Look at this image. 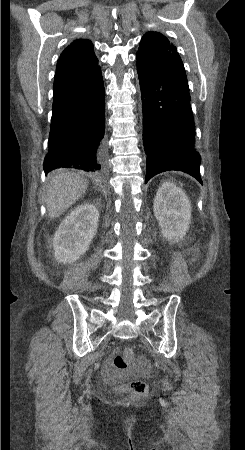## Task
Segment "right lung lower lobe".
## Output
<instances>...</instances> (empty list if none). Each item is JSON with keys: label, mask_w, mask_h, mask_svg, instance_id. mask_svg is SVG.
Returning a JSON list of instances; mask_svg holds the SVG:
<instances>
[{"label": "right lung lower lobe", "mask_w": 245, "mask_h": 450, "mask_svg": "<svg viewBox=\"0 0 245 450\" xmlns=\"http://www.w3.org/2000/svg\"><path fill=\"white\" fill-rule=\"evenodd\" d=\"M105 92L100 67L54 96L45 173L75 168L93 175L106 170Z\"/></svg>", "instance_id": "1"}]
</instances>
